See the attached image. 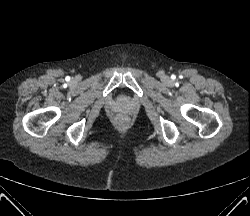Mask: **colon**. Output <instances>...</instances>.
Masks as SVG:
<instances>
[{
	"mask_svg": "<svg viewBox=\"0 0 250 216\" xmlns=\"http://www.w3.org/2000/svg\"><path fill=\"white\" fill-rule=\"evenodd\" d=\"M117 123H118L119 125H123V124L125 123L124 117L119 116V117L117 118Z\"/></svg>",
	"mask_w": 250,
	"mask_h": 216,
	"instance_id": "obj_1",
	"label": "colon"
}]
</instances>
